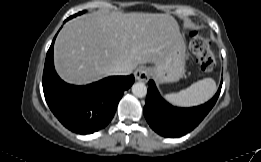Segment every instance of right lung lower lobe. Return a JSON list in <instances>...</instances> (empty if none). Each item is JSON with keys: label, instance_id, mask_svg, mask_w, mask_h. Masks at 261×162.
I'll list each match as a JSON object with an SVG mask.
<instances>
[{"label": "right lung lower lobe", "instance_id": "1", "mask_svg": "<svg viewBox=\"0 0 261 162\" xmlns=\"http://www.w3.org/2000/svg\"><path fill=\"white\" fill-rule=\"evenodd\" d=\"M54 41L55 38L47 52L43 72V91L50 110L67 129L78 134H91L106 127L124 91L134 83V76L107 77L86 86L67 84L54 69Z\"/></svg>", "mask_w": 261, "mask_h": 162}]
</instances>
